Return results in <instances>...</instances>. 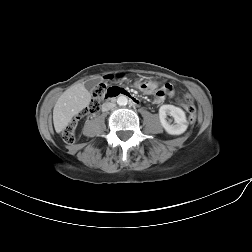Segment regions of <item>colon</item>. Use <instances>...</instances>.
I'll return each instance as SVG.
<instances>
[{
  "mask_svg": "<svg viewBox=\"0 0 252 252\" xmlns=\"http://www.w3.org/2000/svg\"><path fill=\"white\" fill-rule=\"evenodd\" d=\"M113 77L107 76L105 80L97 86L94 91V96L88 106L84 109L77 118L73 119L62 131V138L66 143H73L75 140V130L77 127L78 119L86 117L89 114L95 113L99 110L100 102L103 98H107L110 94L116 93L122 88L117 86H112ZM143 87H149V82H141ZM183 105L187 110L190 123H194L197 119L196 107L194 105L193 99L186 95L183 99Z\"/></svg>",
  "mask_w": 252,
  "mask_h": 252,
  "instance_id": "colon-1",
  "label": "colon"
}]
</instances>
